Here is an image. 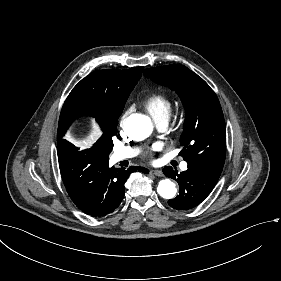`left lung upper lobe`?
Listing matches in <instances>:
<instances>
[{
	"label": "left lung upper lobe",
	"mask_w": 281,
	"mask_h": 281,
	"mask_svg": "<svg viewBox=\"0 0 281 281\" xmlns=\"http://www.w3.org/2000/svg\"><path fill=\"white\" fill-rule=\"evenodd\" d=\"M144 75L181 97L186 110L179 153L188 164L220 176L226 156V131L219 100L209 85L181 64L153 67Z\"/></svg>",
	"instance_id": "5c2ea615"
}]
</instances>
